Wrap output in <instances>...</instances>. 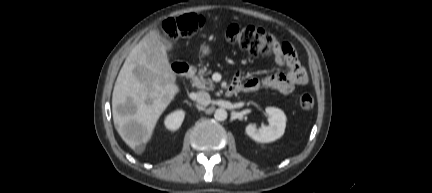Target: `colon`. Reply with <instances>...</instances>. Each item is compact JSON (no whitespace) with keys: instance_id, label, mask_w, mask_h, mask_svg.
I'll list each match as a JSON object with an SVG mask.
<instances>
[{"instance_id":"1","label":"colon","mask_w":432,"mask_h":193,"mask_svg":"<svg viewBox=\"0 0 432 193\" xmlns=\"http://www.w3.org/2000/svg\"><path fill=\"white\" fill-rule=\"evenodd\" d=\"M203 26V17L187 14L165 20L162 29L170 39L179 40L192 37ZM223 36L231 45L254 56L270 54L274 48V37L253 25H229L224 29ZM314 103L311 93L305 92L300 95L299 106L302 110L312 109Z\"/></svg>"}]
</instances>
